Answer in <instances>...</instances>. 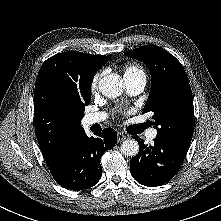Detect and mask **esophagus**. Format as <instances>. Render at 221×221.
Masks as SVG:
<instances>
[{
    "label": "esophagus",
    "mask_w": 221,
    "mask_h": 221,
    "mask_svg": "<svg viewBox=\"0 0 221 221\" xmlns=\"http://www.w3.org/2000/svg\"><path fill=\"white\" fill-rule=\"evenodd\" d=\"M125 139H126V135L123 132H118L117 133V141L118 142H121V141H123Z\"/></svg>",
    "instance_id": "obj_1"
}]
</instances>
